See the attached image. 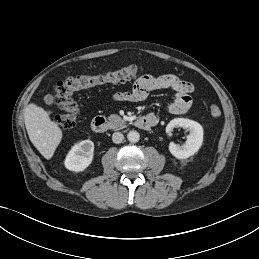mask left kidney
<instances>
[{
  "label": "left kidney",
  "mask_w": 259,
  "mask_h": 259,
  "mask_svg": "<svg viewBox=\"0 0 259 259\" xmlns=\"http://www.w3.org/2000/svg\"><path fill=\"white\" fill-rule=\"evenodd\" d=\"M182 127L189 130L186 143L183 146L170 143L169 151L177 159H186L198 152L203 142V128L193 120L186 118H175L166 126V132L169 133L174 128Z\"/></svg>",
  "instance_id": "5707ae66"
}]
</instances>
